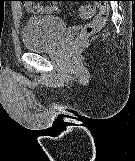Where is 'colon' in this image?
Returning <instances> with one entry per match:
<instances>
[{"label": "colon", "instance_id": "colon-1", "mask_svg": "<svg viewBox=\"0 0 135 161\" xmlns=\"http://www.w3.org/2000/svg\"><path fill=\"white\" fill-rule=\"evenodd\" d=\"M101 2V1H99ZM98 12L95 14L96 6L94 4H84L79 9V14L82 18L93 19L85 25L82 32L76 37L73 42L74 48L82 46L84 41L101 30L109 15V8L106 4H97Z\"/></svg>", "mask_w": 135, "mask_h": 161}]
</instances>
